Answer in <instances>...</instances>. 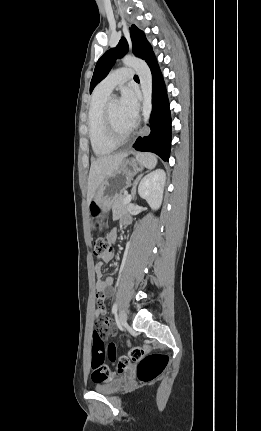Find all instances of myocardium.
<instances>
[{"label": "myocardium", "instance_id": "1", "mask_svg": "<svg viewBox=\"0 0 261 431\" xmlns=\"http://www.w3.org/2000/svg\"><path fill=\"white\" fill-rule=\"evenodd\" d=\"M109 107L110 104H107L103 110V125L105 136L108 142L116 147L124 145L130 139L133 133V127L125 135H119L112 124Z\"/></svg>", "mask_w": 261, "mask_h": 431}]
</instances>
